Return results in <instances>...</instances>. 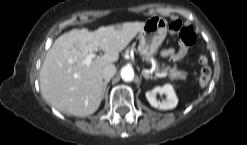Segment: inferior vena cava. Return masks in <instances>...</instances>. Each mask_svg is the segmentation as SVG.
Wrapping results in <instances>:
<instances>
[{
	"label": "inferior vena cava",
	"instance_id": "1",
	"mask_svg": "<svg viewBox=\"0 0 247 145\" xmlns=\"http://www.w3.org/2000/svg\"><path fill=\"white\" fill-rule=\"evenodd\" d=\"M116 73V67L114 64H107L102 69V77L104 80H110Z\"/></svg>",
	"mask_w": 247,
	"mask_h": 145
}]
</instances>
